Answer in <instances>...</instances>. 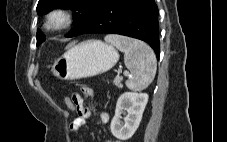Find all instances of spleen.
I'll return each instance as SVG.
<instances>
[{
    "label": "spleen",
    "mask_w": 227,
    "mask_h": 142,
    "mask_svg": "<svg viewBox=\"0 0 227 142\" xmlns=\"http://www.w3.org/2000/svg\"><path fill=\"white\" fill-rule=\"evenodd\" d=\"M105 41L124 52V63L130 71L126 86L134 91L147 88L157 69L156 56L150 46L140 40L116 34L107 35Z\"/></svg>",
    "instance_id": "obj_1"
}]
</instances>
